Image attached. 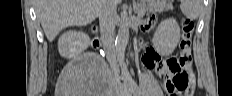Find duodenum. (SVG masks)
<instances>
[{"mask_svg":"<svg viewBox=\"0 0 232 96\" xmlns=\"http://www.w3.org/2000/svg\"><path fill=\"white\" fill-rule=\"evenodd\" d=\"M94 47H95L96 49L100 47V43H99L98 40H95V41H94Z\"/></svg>","mask_w":232,"mask_h":96,"instance_id":"410a0bca","label":"duodenum"}]
</instances>
